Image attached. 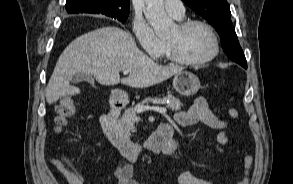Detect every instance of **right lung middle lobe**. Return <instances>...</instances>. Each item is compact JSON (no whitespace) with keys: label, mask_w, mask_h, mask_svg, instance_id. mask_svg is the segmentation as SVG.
<instances>
[{"label":"right lung middle lobe","mask_w":293,"mask_h":184,"mask_svg":"<svg viewBox=\"0 0 293 184\" xmlns=\"http://www.w3.org/2000/svg\"><path fill=\"white\" fill-rule=\"evenodd\" d=\"M128 15L129 13H114V14H111L109 17H112V18H115V19H118L119 21H124L128 18Z\"/></svg>","instance_id":"1"}]
</instances>
